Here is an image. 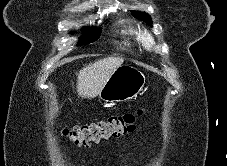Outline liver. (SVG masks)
<instances>
[{
  "label": "liver",
  "instance_id": "liver-1",
  "mask_svg": "<svg viewBox=\"0 0 227 166\" xmlns=\"http://www.w3.org/2000/svg\"><path fill=\"white\" fill-rule=\"evenodd\" d=\"M124 59L108 57L90 63L82 68L77 77V93L84 99H93L101 92L102 88L112 75L120 67Z\"/></svg>",
  "mask_w": 227,
  "mask_h": 166
}]
</instances>
